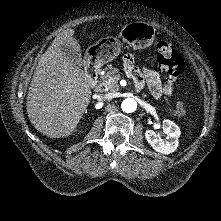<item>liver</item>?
<instances>
[{
	"mask_svg": "<svg viewBox=\"0 0 221 221\" xmlns=\"http://www.w3.org/2000/svg\"><path fill=\"white\" fill-rule=\"evenodd\" d=\"M74 32L68 29L56 36L40 58L27 94L30 122L52 138L72 134L91 100V85L83 70L61 51V46H67L81 54Z\"/></svg>",
	"mask_w": 221,
	"mask_h": 221,
	"instance_id": "6515ba94",
	"label": "liver"
}]
</instances>
